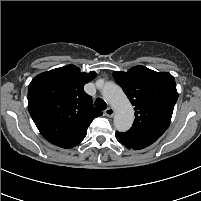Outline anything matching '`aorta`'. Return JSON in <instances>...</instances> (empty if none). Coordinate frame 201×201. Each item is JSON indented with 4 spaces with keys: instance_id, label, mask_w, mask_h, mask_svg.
<instances>
[{
    "instance_id": "obj_1",
    "label": "aorta",
    "mask_w": 201,
    "mask_h": 201,
    "mask_svg": "<svg viewBox=\"0 0 201 201\" xmlns=\"http://www.w3.org/2000/svg\"><path fill=\"white\" fill-rule=\"evenodd\" d=\"M103 98L114 108V126L120 132L128 131L134 120V110L122 88L108 82L102 88Z\"/></svg>"
}]
</instances>
